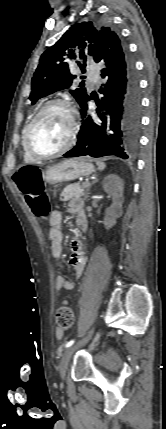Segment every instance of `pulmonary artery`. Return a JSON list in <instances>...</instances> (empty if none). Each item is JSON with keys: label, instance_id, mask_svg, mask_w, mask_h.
I'll return each instance as SVG.
<instances>
[{"label": "pulmonary artery", "instance_id": "e3ab8cb5", "mask_svg": "<svg viewBox=\"0 0 166 429\" xmlns=\"http://www.w3.org/2000/svg\"><path fill=\"white\" fill-rule=\"evenodd\" d=\"M87 76L89 78H91L93 80V82L95 83L97 81L99 75L93 68H89L87 71Z\"/></svg>", "mask_w": 166, "mask_h": 429}]
</instances>
